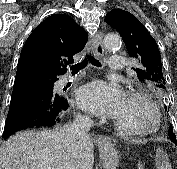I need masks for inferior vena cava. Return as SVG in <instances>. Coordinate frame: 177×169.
<instances>
[{
	"instance_id": "602c4592",
	"label": "inferior vena cava",
	"mask_w": 177,
	"mask_h": 169,
	"mask_svg": "<svg viewBox=\"0 0 177 169\" xmlns=\"http://www.w3.org/2000/svg\"><path fill=\"white\" fill-rule=\"evenodd\" d=\"M93 121L87 116H77L76 120L62 128L63 136L71 142H76L80 138H87Z\"/></svg>"
}]
</instances>
